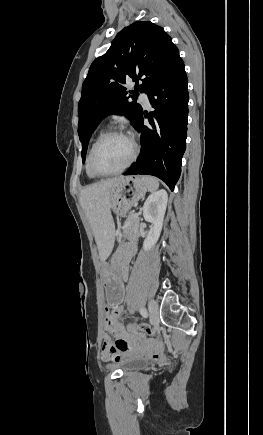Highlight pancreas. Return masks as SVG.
Wrapping results in <instances>:
<instances>
[{"instance_id":"1","label":"pancreas","mask_w":263,"mask_h":435,"mask_svg":"<svg viewBox=\"0 0 263 435\" xmlns=\"http://www.w3.org/2000/svg\"><path fill=\"white\" fill-rule=\"evenodd\" d=\"M139 217L134 216L133 212L128 214L127 221L123 226V236L127 239H135L139 237L138 232Z\"/></svg>"}]
</instances>
